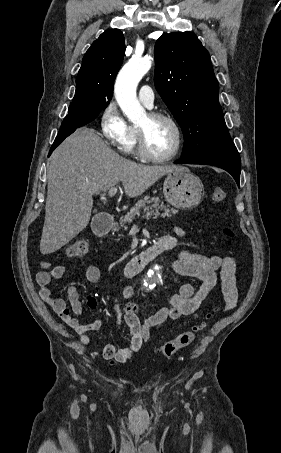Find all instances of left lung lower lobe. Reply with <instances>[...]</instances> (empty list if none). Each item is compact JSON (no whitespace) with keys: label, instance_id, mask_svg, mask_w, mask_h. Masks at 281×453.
<instances>
[{"label":"left lung lower lobe","instance_id":"0a47b994","mask_svg":"<svg viewBox=\"0 0 281 453\" xmlns=\"http://www.w3.org/2000/svg\"><path fill=\"white\" fill-rule=\"evenodd\" d=\"M174 163L217 166L229 172L235 179L238 186L240 184L241 160L236 147L233 149L203 154L200 156L181 158Z\"/></svg>","mask_w":281,"mask_h":453}]
</instances>
